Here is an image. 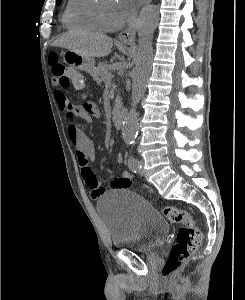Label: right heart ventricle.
<instances>
[{
	"label": "right heart ventricle",
	"instance_id": "obj_1",
	"mask_svg": "<svg viewBox=\"0 0 245 300\" xmlns=\"http://www.w3.org/2000/svg\"><path fill=\"white\" fill-rule=\"evenodd\" d=\"M97 0H68L63 16L67 29L78 32L103 30L97 15Z\"/></svg>",
	"mask_w": 245,
	"mask_h": 300
}]
</instances>
